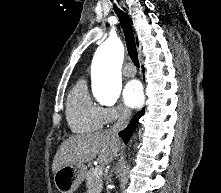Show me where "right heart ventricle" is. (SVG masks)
Segmentation results:
<instances>
[{
    "label": "right heart ventricle",
    "mask_w": 221,
    "mask_h": 193,
    "mask_svg": "<svg viewBox=\"0 0 221 193\" xmlns=\"http://www.w3.org/2000/svg\"><path fill=\"white\" fill-rule=\"evenodd\" d=\"M66 107L72 131L87 133L103 127L104 108L90 97L83 79L79 80L70 91Z\"/></svg>",
    "instance_id": "obj_1"
}]
</instances>
